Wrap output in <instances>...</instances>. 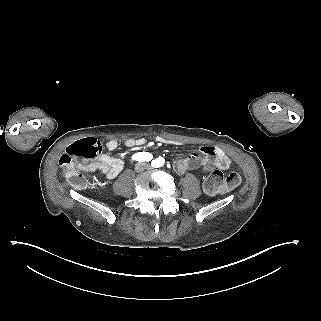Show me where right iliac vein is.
I'll return each mask as SVG.
<instances>
[{
	"instance_id": "right-iliac-vein-1",
	"label": "right iliac vein",
	"mask_w": 321,
	"mask_h": 321,
	"mask_svg": "<svg viewBox=\"0 0 321 321\" xmlns=\"http://www.w3.org/2000/svg\"><path fill=\"white\" fill-rule=\"evenodd\" d=\"M145 168H146V165L144 163H138L135 166V172L140 173L144 171Z\"/></svg>"
}]
</instances>
